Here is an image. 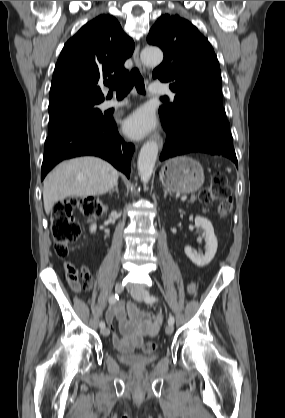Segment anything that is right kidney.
Returning <instances> with one entry per match:
<instances>
[{
    "mask_svg": "<svg viewBox=\"0 0 285 418\" xmlns=\"http://www.w3.org/2000/svg\"><path fill=\"white\" fill-rule=\"evenodd\" d=\"M90 231H91V233H95L96 232V224H92L91 225Z\"/></svg>",
    "mask_w": 285,
    "mask_h": 418,
    "instance_id": "right-kidney-1",
    "label": "right kidney"
}]
</instances>
